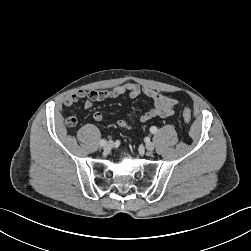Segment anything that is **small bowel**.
I'll list each match as a JSON object with an SVG mask.
<instances>
[{
  "mask_svg": "<svg viewBox=\"0 0 251 251\" xmlns=\"http://www.w3.org/2000/svg\"><path fill=\"white\" fill-rule=\"evenodd\" d=\"M141 94H144L153 102L152 108L140 116L139 122L141 124L156 117L166 118L171 116L174 113L175 107L179 103L172 95H165L148 86H140L134 82H126L111 89L89 91L77 90L65 99L64 104L66 106H72L73 104L84 100L85 109H91L95 102L118 98L123 95L135 98ZM92 116L95 121L100 122L103 120V115L100 111H94ZM117 126L125 130H132L135 128L134 125H131L124 119L118 120Z\"/></svg>",
  "mask_w": 251,
  "mask_h": 251,
  "instance_id": "c3829d8e",
  "label": "small bowel"
}]
</instances>
